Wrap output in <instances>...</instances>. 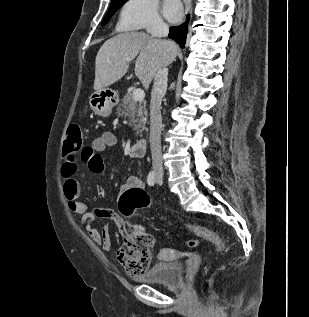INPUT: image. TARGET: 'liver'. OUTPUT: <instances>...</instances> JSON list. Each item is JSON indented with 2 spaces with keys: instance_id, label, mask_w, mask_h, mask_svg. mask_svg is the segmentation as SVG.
Instances as JSON below:
<instances>
[{
  "instance_id": "obj_1",
  "label": "liver",
  "mask_w": 309,
  "mask_h": 317,
  "mask_svg": "<svg viewBox=\"0 0 309 317\" xmlns=\"http://www.w3.org/2000/svg\"><path fill=\"white\" fill-rule=\"evenodd\" d=\"M164 41L144 32L118 34L100 47L95 59L94 89L99 90L120 80L127 72L129 63L135 59V75L147 90L160 65L172 63L178 53L172 42Z\"/></svg>"
}]
</instances>
